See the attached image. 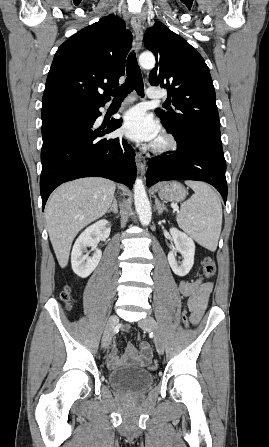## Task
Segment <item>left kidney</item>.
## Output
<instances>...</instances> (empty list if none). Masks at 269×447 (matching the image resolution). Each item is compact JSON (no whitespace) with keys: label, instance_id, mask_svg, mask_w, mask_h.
Here are the masks:
<instances>
[{"label":"left kidney","instance_id":"left-kidney-1","mask_svg":"<svg viewBox=\"0 0 269 447\" xmlns=\"http://www.w3.org/2000/svg\"><path fill=\"white\" fill-rule=\"evenodd\" d=\"M170 233L175 243V247H171V251L167 255L170 267H172L176 275H187L191 267H193L195 243L192 237H189L183 231H179L176 227H171ZM176 251H180L183 257L181 263L176 261Z\"/></svg>","mask_w":269,"mask_h":447}]
</instances>
